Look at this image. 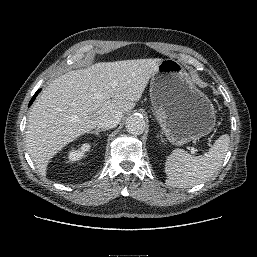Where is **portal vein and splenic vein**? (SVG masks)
<instances>
[{
    "instance_id": "1",
    "label": "portal vein and splenic vein",
    "mask_w": 257,
    "mask_h": 257,
    "mask_svg": "<svg viewBox=\"0 0 257 257\" xmlns=\"http://www.w3.org/2000/svg\"><path fill=\"white\" fill-rule=\"evenodd\" d=\"M196 151H197V150H196L195 148H191V153H192V154H195Z\"/></svg>"
}]
</instances>
